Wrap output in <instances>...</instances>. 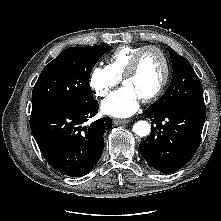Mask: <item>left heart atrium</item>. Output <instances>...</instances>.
Listing matches in <instances>:
<instances>
[{
	"label": "left heart atrium",
	"instance_id": "left-heart-atrium-1",
	"mask_svg": "<svg viewBox=\"0 0 221 221\" xmlns=\"http://www.w3.org/2000/svg\"><path fill=\"white\" fill-rule=\"evenodd\" d=\"M139 101L140 98L135 92L124 85L101 103V110L107 115L125 118L137 111Z\"/></svg>",
	"mask_w": 221,
	"mask_h": 221
}]
</instances>
